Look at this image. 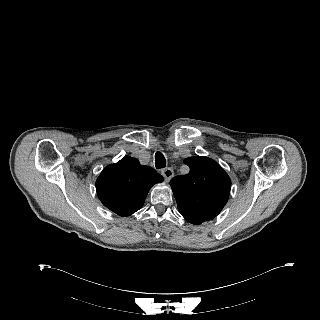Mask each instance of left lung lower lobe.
<instances>
[{"mask_svg": "<svg viewBox=\"0 0 320 320\" xmlns=\"http://www.w3.org/2000/svg\"><path fill=\"white\" fill-rule=\"evenodd\" d=\"M178 210L180 212V214L190 223L195 224V225H199L205 221H209L212 220V218H208V217H203V216H198L195 215L192 212H189L185 209H182L180 207H178Z\"/></svg>", "mask_w": 320, "mask_h": 320, "instance_id": "0a47b994", "label": "left lung lower lobe"}]
</instances>
